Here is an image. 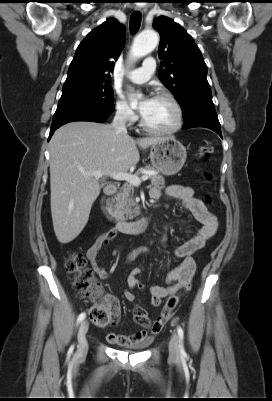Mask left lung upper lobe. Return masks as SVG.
<instances>
[{"mask_svg": "<svg viewBox=\"0 0 272 401\" xmlns=\"http://www.w3.org/2000/svg\"><path fill=\"white\" fill-rule=\"evenodd\" d=\"M153 27L161 36L159 78L175 95L184 118L200 110H215L207 66L191 36L166 16L155 18Z\"/></svg>", "mask_w": 272, "mask_h": 401, "instance_id": "left-lung-upper-lobe-1", "label": "left lung upper lobe"}]
</instances>
